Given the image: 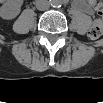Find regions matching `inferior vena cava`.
<instances>
[{
	"label": "inferior vena cava",
	"instance_id": "602c4592",
	"mask_svg": "<svg viewBox=\"0 0 103 103\" xmlns=\"http://www.w3.org/2000/svg\"><path fill=\"white\" fill-rule=\"evenodd\" d=\"M50 7V3L47 0H38L36 2V8L40 11L48 10Z\"/></svg>",
	"mask_w": 103,
	"mask_h": 103
}]
</instances>
